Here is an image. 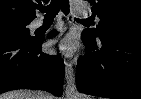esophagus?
Segmentation results:
<instances>
[{"label":"esophagus","instance_id":"1","mask_svg":"<svg viewBox=\"0 0 141 99\" xmlns=\"http://www.w3.org/2000/svg\"><path fill=\"white\" fill-rule=\"evenodd\" d=\"M66 87L65 94L67 97L73 96L76 93L74 70L71 63H66L65 66Z\"/></svg>","mask_w":141,"mask_h":99}]
</instances>
